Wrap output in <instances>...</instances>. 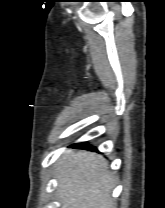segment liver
<instances>
[{"label": "liver", "instance_id": "liver-1", "mask_svg": "<svg viewBox=\"0 0 165 208\" xmlns=\"http://www.w3.org/2000/svg\"><path fill=\"white\" fill-rule=\"evenodd\" d=\"M61 208H115V178L100 155L67 151L55 165Z\"/></svg>", "mask_w": 165, "mask_h": 208}]
</instances>
